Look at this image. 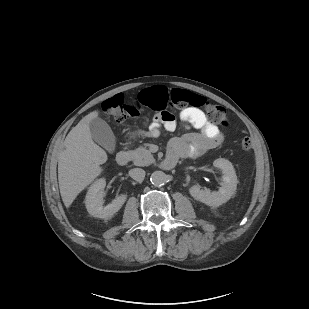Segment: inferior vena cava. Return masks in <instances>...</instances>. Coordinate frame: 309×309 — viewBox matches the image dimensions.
<instances>
[{"mask_svg":"<svg viewBox=\"0 0 309 309\" xmlns=\"http://www.w3.org/2000/svg\"><path fill=\"white\" fill-rule=\"evenodd\" d=\"M129 175L134 180L138 182H142L145 177V171L141 168H133L129 171Z\"/></svg>","mask_w":309,"mask_h":309,"instance_id":"obj_1","label":"inferior vena cava"}]
</instances>
